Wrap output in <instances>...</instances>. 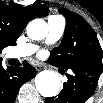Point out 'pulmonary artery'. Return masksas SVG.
Masks as SVG:
<instances>
[{
  "mask_svg": "<svg viewBox=\"0 0 103 103\" xmlns=\"http://www.w3.org/2000/svg\"><path fill=\"white\" fill-rule=\"evenodd\" d=\"M65 19L61 16H50L48 19V34L45 42L47 44L57 42L64 33ZM38 46L32 43L20 45L12 49L10 56L13 58H23L34 54L38 50Z\"/></svg>",
  "mask_w": 103,
  "mask_h": 103,
  "instance_id": "pulmonary-artery-1",
  "label": "pulmonary artery"
}]
</instances>
